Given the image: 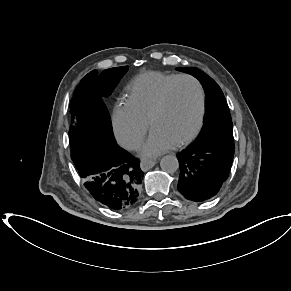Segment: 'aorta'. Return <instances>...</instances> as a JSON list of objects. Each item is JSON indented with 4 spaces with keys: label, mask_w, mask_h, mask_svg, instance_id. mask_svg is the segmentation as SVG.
I'll return each mask as SVG.
<instances>
[{
    "label": "aorta",
    "mask_w": 291,
    "mask_h": 291,
    "mask_svg": "<svg viewBox=\"0 0 291 291\" xmlns=\"http://www.w3.org/2000/svg\"><path fill=\"white\" fill-rule=\"evenodd\" d=\"M160 167L165 172H175L179 167V162L176 156L166 155L160 161Z\"/></svg>",
    "instance_id": "762f6f07"
}]
</instances>
